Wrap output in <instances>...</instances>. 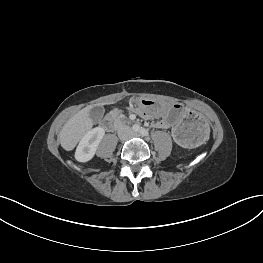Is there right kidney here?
I'll list each match as a JSON object with an SVG mask.
<instances>
[{
	"label": "right kidney",
	"instance_id": "1",
	"mask_svg": "<svg viewBox=\"0 0 263 263\" xmlns=\"http://www.w3.org/2000/svg\"><path fill=\"white\" fill-rule=\"evenodd\" d=\"M104 135L105 130L102 127H96L88 131L76 148V160L79 162H87L91 160L94 157Z\"/></svg>",
	"mask_w": 263,
	"mask_h": 263
}]
</instances>
